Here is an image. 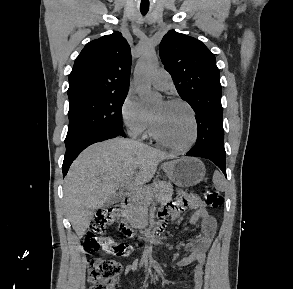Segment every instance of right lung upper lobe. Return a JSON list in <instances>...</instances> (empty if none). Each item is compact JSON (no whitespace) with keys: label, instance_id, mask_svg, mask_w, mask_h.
<instances>
[{"label":"right lung upper lobe","instance_id":"1","mask_svg":"<svg viewBox=\"0 0 293 289\" xmlns=\"http://www.w3.org/2000/svg\"><path fill=\"white\" fill-rule=\"evenodd\" d=\"M130 46L120 32L86 44L69 75V101L85 96L119 95L129 90Z\"/></svg>","mask_w":293,"mask_h":289}]
</instances>
